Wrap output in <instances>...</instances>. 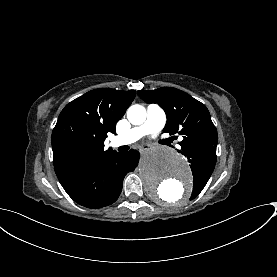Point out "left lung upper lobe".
I'll return each mask as SVG.
<instances>
[{
  "instance_id": "left-lung-upper-lobe-1",
  "label": "left lung upper lobe",
  "mask_w": 277,
  "mask_h": 277,
  "mask_svg": "<svg viewBox=\"0 0 277 277\" xmlns=\"http://www.w3.org/2000/svg\"><path fill=\"white\" fill-rule=\"evenodd\" d=\"M138 94L146 103H157L164 109L167 123L163 132L183 136V140L179 142L181 151L208 145L217 146V130L208 109L186 92L172 87H162L156 90H139ZM191 170V199H194L206 185L213 168L202 163L196 164Z\"/></svg>"
}]
</instances>
